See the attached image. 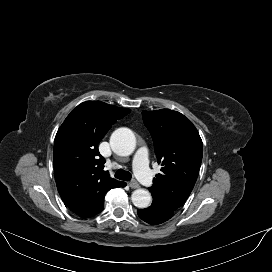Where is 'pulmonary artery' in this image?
<instances>
[{
	"mask_svg": "<svg viewBox=\"0 0 272 272\" xmlns=\"http://www.w3.org/2000/svg\"><path fill=\"white\" fill-rule=\"evenodd\" d=\"M134 169L136 176L144 185L148 187L153 185V178L148 167V151L145 146L138 148L135 153Z\"/></svg>",
	"mask_w": 272,
	"mask_h": 272,
	"instance_id": "1",
	"label": "pulmonary artery"
}]
</instances>
